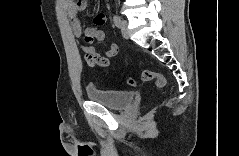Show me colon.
<instances>
[{"instance_id": "5ec220e1", "label": "colon", "mask_w": 239, "mask_h": 156, "mask_svg": "<svg viewBox=\"0 0 239 156\" xmlns=\"http://www.w3.org/2000/svg\"><path fill=\"white\" fill-rule=\"evenodd\" d=\"M142 80L146 82H154L155 86L158 89H161L165 85V78L162 74L145 70L142 72ZM136 81L133 78H129L127 80V85L129 86H135Z\"/></svg>"}]
</instances>
